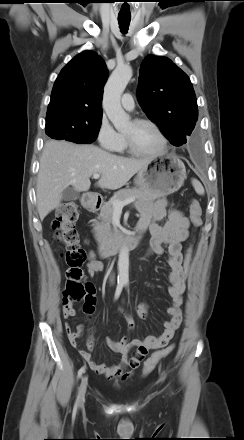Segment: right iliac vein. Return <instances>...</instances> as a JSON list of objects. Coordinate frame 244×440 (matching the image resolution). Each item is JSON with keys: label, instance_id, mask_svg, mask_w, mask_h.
<instances>
[{"label": "right iliac vein", "instance_id": "obj_1", "mask_svg": "<svg viewBox=\"0 0 244 440\" xmlns=\"http://www.w3.org/2000/svg\"><path fill=\"white\" fill-rule=\"evenodd\" d=\"M87 382H88L87 377H84L82 379V382H81V385L79 388L78 406H81L84 402L85 393H86V389H87Z\"/></svg>", "mask_w": 244, "mask_h": 440}]
</instances>
